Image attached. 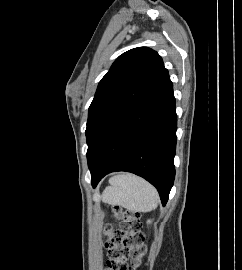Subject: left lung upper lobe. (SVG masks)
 <instances>
[{
	"label": "left lung upper lobe",
	"mask_w": 242,
	"mask_h": 270,
	"mask_svg": "<svg viewBox=\"0 0 242 270\" xmlns=\"http://www.w3.org/2000/svg\"><path fill=\"white\" fill-rule=\"evenodd\" d=\"M167 75L162 58L148 47L131 49L115 60L99 82L89 107L88 166L116 123L151 94Z\"/></svg>",
	"instance_id": "left-lung-upper-lobe-1"
}]
</instances>
